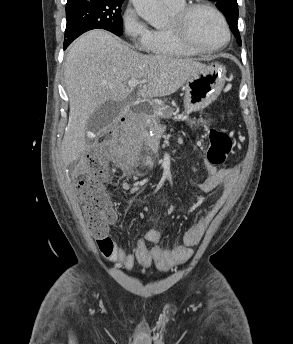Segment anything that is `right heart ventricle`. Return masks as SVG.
Segmentation results:
<instances>
[{
  "mask_svg": "<svg viewBox=\"0 0 293 344\" xmlns=\"http://www.w3.org/2000/svg\"><path fill=\"white\" fill-rule=\"evenodd\" d=\"M168 12L172 15L184 6L186 0H180L173 4H165ZM146 51L154 56L159 57H192L196 55L195 52L187 49L177 40H175L167 28L152 30L150 41L147 45Z\"/></svg>",
  "mask_w": 293,
  "mask_h": 344,
  "instance_id": "obj_1",
  "label": "right heart ventricle"
}]
</instances>
